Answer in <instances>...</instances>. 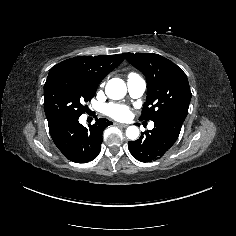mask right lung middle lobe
Here are the masks:
<instances>
[{
	"mask_svg": "<svg viewBox=\"0 0 236 236\" xmlns=\"http://www.w3.org/2000/svg\"><path fill=\"white\" fill-rule=\"evenodd\" d=\"M97 84L81 71L53 66L44 84V110L48 126L80 117L96 93Z\"/></svg>",
	"mask_w": 236,
	"mask_h": 236,
	"instance_id": "right-lung-middle-lobe-1",
	"label": "right lung middle lobe"
}]
</instances>
